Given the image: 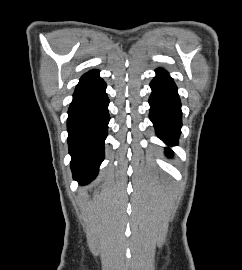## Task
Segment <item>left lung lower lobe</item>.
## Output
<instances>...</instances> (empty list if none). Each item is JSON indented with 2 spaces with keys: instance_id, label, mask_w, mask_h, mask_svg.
I'll use <instances>...</instances> for the list:
<instances>
[{
  "instance_id": "obj_1",
  "label": "left lung lower lobe",
  "mask_w": 242,
  "mask_h": 270,
  "mask_svg": "<svg viewBox=\"0 0 242 270\" xmlns=\"http://www.w3.org/2000/svg\"><path fill=\"white\" fill-rule=\"evenodd\" d=\"M157 76L150 84L152 94L149 99L150 120L158 137L165 143L176 145L181 133V104L177 88L168 74L158 69ZM170 155L171 151L167 149Z\"/></svg>"
}]
</instances>
